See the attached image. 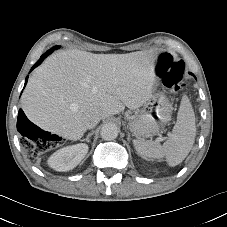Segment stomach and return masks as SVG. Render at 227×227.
I'll return each instance as SVG.
<instances>
[{"mask_svg":"<svg viewBox=\"0 0 227 227\" xmlns=\"http://www.w3.org/2000/svg\"><path fill=\"white\" fill-rule=\"evenodd\" d=\"M172 105L162 92L152 91L139 113L128 122V129L138 138L158 134L170 121Z\"/></svg>","mask_w":227,"mask_h":227,"instance_id":"1","label":"stomach"}]
</instances>
